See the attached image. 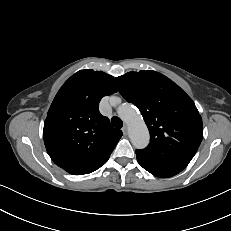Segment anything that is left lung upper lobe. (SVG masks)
Here are the masks:
<instances>
[{"label": "left lung upper lobe", "instance_id": "1", "mask_svg": "<svg viewBox=\"0 0 231 231\" xmlns=\"http://www.w3.org/2000/svg\"><path fill=\"white\" fill-rule=\"evenodd\" d=\"M123 98L141 112L150 143L140 155L186 167L203 138L202 118L192 99L172 80L155 71L129 72L116 78Z\"/></svg>", "mask_w": 231, "mask_h": 231}]
</instances>
